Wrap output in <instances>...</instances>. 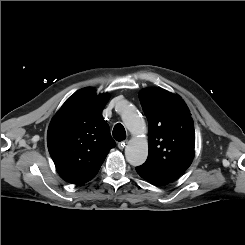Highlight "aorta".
Masks as SVG:
<instances>
[{
    "label": "aorta",
    "mask_w": 245,
    "mask_h": 245,
    "mask_svg": "<svg viewBox=\"0 0 245 245\" xmlns=\"http://www.w3.org/2000/svg\"><path fill=\"white\" fill-rule=\"evenodd\" d=\"M119 109L123 123L133 135L125 148L126 160L132 166L142 165L148 156V142L143 136L146 133L145 121L136 107L127 101H122Z\"/></svg>",
    "instance_id": "obj_1"
}]
</instances>
